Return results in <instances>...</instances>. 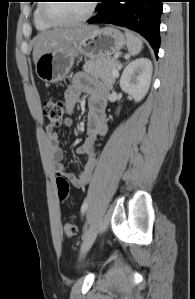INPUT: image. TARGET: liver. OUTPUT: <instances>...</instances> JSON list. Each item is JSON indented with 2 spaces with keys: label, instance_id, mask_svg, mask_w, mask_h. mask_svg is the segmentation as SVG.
I'll return each mask as SVG.
<instances>
[{
  "label": "liver",
  "instance_id": "liver-1",
  "mask_svg": "<svg viewBox=\"0 0 195 299\" xmlns=\"http://www.w3.org/2000/svg\"><path fill=\"white\" fill-rule=\"evenodd\" d=\"M95 26L80 25L45 31L34 38L33 61L45 53L62 50L85 37Z\"/></svg>",
  "mask_w": 195,
  "mask_h": 299
}]
</instances>
